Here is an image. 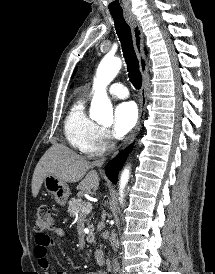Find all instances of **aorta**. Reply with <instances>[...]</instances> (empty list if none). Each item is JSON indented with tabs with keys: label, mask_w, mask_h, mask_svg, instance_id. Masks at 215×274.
Listing matches in <instances>:
<instances>
[{
	"label": "aorta",
	"mask_w": 215,
	"mask_h": 274,
	"mask_svg": "<svg viewBox=\"0 0 215 274\" xmlns=\"http://www.w3.org/2000/svg\"><path fill=\"white\" fill-rule=\"evenodd\" d=\"M121 65L120 58L105 56L97 68L96 78L93 83L95 93L91 101L90 118L99 123L111 124L113 122V108L107 96L106 87L116 77ZM129 174V169L122 172L120 179L121 197L128 182Z\"/></svg>",
	"instance_id": "aorta-1"
}]
</instances>
